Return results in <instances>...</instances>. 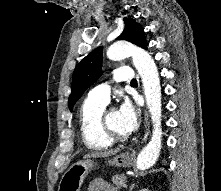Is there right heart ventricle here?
Returning a JSON list of instances; mask_svg holds the SVG:
<instances>
[{"mask_svg":"<svg viewBox=\"0 0 221 191\" xmlns=\"http://www.w3.org/2000/svg\"><path fill=\"white\" fill-rule=\"evenodd\" d=\"M106 103L86 98L80 109V130L84 144L94 150L108 149L113 145L103 125Z\"/></svg>","mask_w":221,"mask_h":191,"instance_id":"right-heart-ventricle-1","label":"right heart ventricle"}]
</instances>
